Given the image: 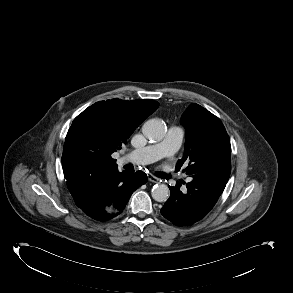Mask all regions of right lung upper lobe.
<instances>
[{
	"label": "right lung upper lobe",
	"mask_w": 293,
	"mask_h": 293,
	"mask_svg": "<svg viewBox=\"0 0 293 293\" xmlns=\"http://www.w3.org/2000/svg\"><path fill=\"white\" fill-rule=\"evenodd\" d=\"M158 106L159 103L154 100L126 101L115 98L93 104L74 119L62 155L63 172L72 195L91 174L117 167L111 154L121 149V145ZM87 152L100 153L104 164L90 169L81 167L79 158ZM76 204L79 207L82 205ZM85 204L99 212L111 206L107 203L93 204L88 199H85Z\"/></svg>",
	"instance_id": "obj_1"
}]
</instances>
